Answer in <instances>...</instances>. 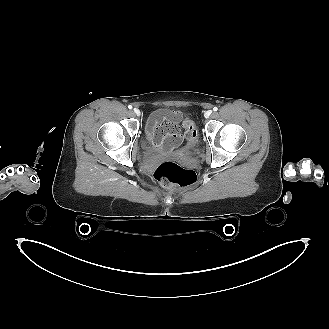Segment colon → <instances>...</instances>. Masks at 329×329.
I'll return each mask as SVG.
<instances>
[{"instance_id":"1","label":"colon","mask_w":329,"mask_h":329,"mask_svg":"<svg viewBox=\"0 0 329 329\" xmlns=\"http://www.w3.org/2000/svg\"><path fill=\"white\" fill-rule=\"evenodd\" d=\"M196 120L194 117L189 116L183 121L182 126L186 133V138L189 141H195L199 137V133L195 128ZM154 177L161 184L169 187L186 188L196 184V173L178 164L166 161L159 164L154 170Z\"/></svg>"}]
</instances>
